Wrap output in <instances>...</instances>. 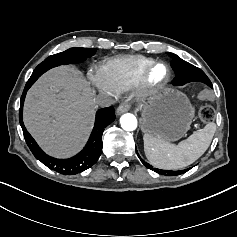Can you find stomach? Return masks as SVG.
<instances>
[{"instance_id": "stomach-1", "label": "stomach", "mask_w": 237, "mask_h": 237, "mask_svg": "<svg viewBox=\"0 0 237 237\" xmlns=\"http://www.w3.org/2000/svg\"><path fill=\"white\" fill-rule=\"evenodd\" d=\"M142 103L141 128L145 134L175 142L190 129L193 110L184 94L167 88Z\"/></svg>"}]
</instances>
